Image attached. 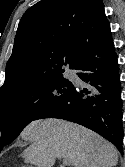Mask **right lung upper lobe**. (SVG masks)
<instances>
[{"mask_svg": "<svg viewBox=\"0 0 125 167\" xmlns=\"http://www.w3.org/2000/svg\"><path fill=\"white\" fill-rule=\"evenodd\" d=\"M110 27L102 0H41L22 16L0 99L75 69L86 48Z\"/></svg>", "mask_w": 125, "mask_h": 167, "instance_id": "obj_1", "label": "right lung upper lobe"}]
</instances>
